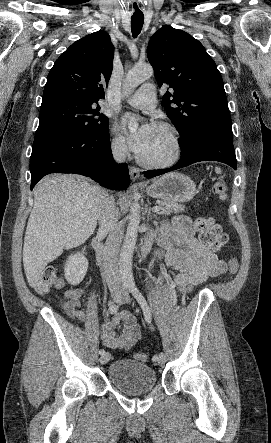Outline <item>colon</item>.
I'll use <instances>...</instances> for the list:
<instances>
[{
    "mask_svg": "<svg viewBox=\"0 0 271 443\" xmlns=\"http://www.w3.org/2000/svg\"><path fill=\"white\" fill-rule=\"evenodd\" d=\"M213 193L220 199L227 198V185L223 180L217 181L213 186ZM194 229L198 234L200 242L210 251L216 253L222 250L227 243V234L221 226L215 223L210 217H198L194 222ZM238 270V261L231 258L228 262L229 275L234 276ZM63 282L57 279L56 270L52 266L46 267L35 285L36 291L40 294H46L53 287H62ZM134 358L140 362H147L148 356L145 353H136Z\"/></svg>",
    "mask_w": 271,
    "mask_h": 443,
    "instance_id": "colon-1",
    "label": "colon"
}]
</instances>
